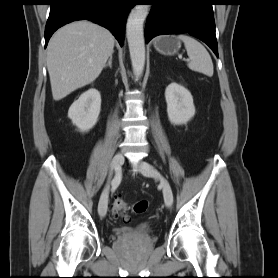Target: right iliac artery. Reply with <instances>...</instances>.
Instances as JSON below:
<instances>
[{
  "mask_svg": "<svg viewBox=\"0 0 278 278\" xmlns=\"http://www.w3.org/2000/svg\"><path fill=\"white\" fill-rule=\"evenodd\" d=\"M115 171L116 174L114 179L112 180V186L117 187L121 181V168H116Z\"/></svg>",
  "mask_w": 278,
  "mask_h": 278,
  "instance_id": "1",
  "label": "right iliac artery"
}]
</instances>
